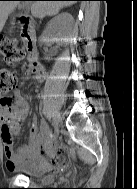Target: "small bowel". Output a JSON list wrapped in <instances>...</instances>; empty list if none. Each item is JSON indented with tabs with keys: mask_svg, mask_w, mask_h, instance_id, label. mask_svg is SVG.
Returning <instances> with one entry per match:
<instances>
[{
	"mask_svg": "<svg viewBox=\"0 0 137 189\" xmlns=\"http://www.w3.org/2000/svg\"><path fill=\"white\" fill-rule=\"evenodd\" d=\"M46 73L39 64L28 67L25 79H33L38 83L44 81ZM29 113L27 100L17 91L10 104L0 102V136L4 144L6 168L9 171H26L44 164L46 153L56 150L53 139L45 125L39 126L33 120L29 141L18 148L13 146V135L19 133L22 123Z\"/></svg>",
	"mask_w": 137,
	"mask_h": 189,
	"instance_id": "small-bowel-1",
	"label": "small bowel"
}]
</instances>
